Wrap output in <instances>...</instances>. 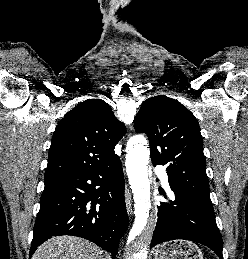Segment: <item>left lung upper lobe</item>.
<instances>
[{
  "mask_svg": "<svg viewBox=\"0 0 248 259\" xmlns=\"http://www.w3.org/2000/svg\"><path fill=\"white\" fill-rule=\"evenodd\" d=\"M146 133L153 165L167 166L169 184L210 196L202 136L194 115L178 101L159 95L146 99L134 119Z\"/></svg>",
  "mask_w": 248,
  "mask_h": 259,
  "instance_id": "5c2ea615",
  "label": "left lung upper lobe"
}]
</instances>
